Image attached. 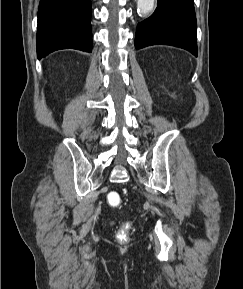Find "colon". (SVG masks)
<instances>
[{
    "instance_id": "1",
    "label": "colon",
    "mask_w": 243,
    "mask_h": 289,
    "mask_svg": "<svg viewBox=\"0 0 243 289\" xmlns=\"http://www.w3.org/2000/svg\"><path fill=\"white\" fill-rule=\"evenodd\" d=\"M107 201L111 207H119L121 205V196L118 192H110L107 196ZM129 224H124L117 232V238L120 242H127L129 240Z\"/></svg>"
}]
</instances>
